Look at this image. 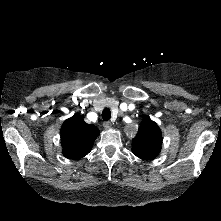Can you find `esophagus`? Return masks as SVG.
Listing matches in <instances>:
<instances>
[{"instance_id": "esophagus-1", "label": "esophagus", "mask_w": 221, "mask_h": 221, "mask_svg": "<svg viewBox=\"0 0 221 221\" xmlns=\"http://www.w3.org/2000/svg\"><path fill=\"white\" fill-rule=\"evenodd\" d=\"M103 127L105 129H110L112 127V123L109 122V121H106V122L103 123Z\"/></svg>"}]
</instances>
